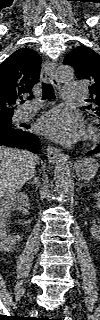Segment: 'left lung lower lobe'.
I'll list each match as a JSON object with an SVG mask.
<instances>
[{
    "label": "left lung lower lobe",
    "mask_w": 100,
    "mask_h": 320,
    "mask_svg": "<svg viewBox=\"0 0 100 320\" xmlns=\"http://www.w3.org/2000/svg\"><path fill=\"white\" fill-rule=\"evenodd\" d=\"M99 126H100V124H99ZM97 153H100V144L95 150L87 152L86 155L89 156V155L97 154Z\"/></svg>",
    "instance_id": "left-lung-lower-lobe-1"
}]
</instances>
